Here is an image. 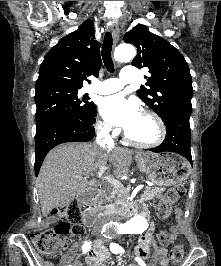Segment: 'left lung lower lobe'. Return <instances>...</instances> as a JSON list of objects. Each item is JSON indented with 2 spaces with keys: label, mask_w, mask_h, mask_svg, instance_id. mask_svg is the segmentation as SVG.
I'll use <instances>...</instances> for the list:
<instances>
[{
  "label": "left lung lower lobe",
  "mask_w": 221,
  "mask_h": 266,
  "mask_svg": "<svg viewBox=\"0 0 221 266\" xmlns=\"http://www.w3.org/2000/svg\"><path fill=\"white\" fill-rule=\"evenodd\" d=\"M189 116H174L165 124L166 137L161 145L150 149L155 153L173 152L185 157L192 164Z\"/></svg>",
  "instance_id": "1"
}]
</instances>
